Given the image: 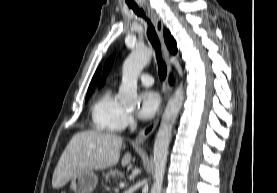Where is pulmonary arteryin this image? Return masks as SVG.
Returning a JSON list of instances; mask_svg holds the SVG:
<instances>
[{
  "mask_svg": "<svg viewBox=\"0 0 277 193\" xmlns=\"http://www.w3.org/2000/svg\"><path fill=\"white\" fill-rule=\"evenodd\" d=\"M140 81L144 86H151L154 82L153 77L149 74H142L140 76Z\"/></svg>",
  "mask_w": 277,
  "mask_h": 193,
  "instance_id": "pulmonary-artery-1",
  "label": "pulmonary artery"
}]
</instances>
